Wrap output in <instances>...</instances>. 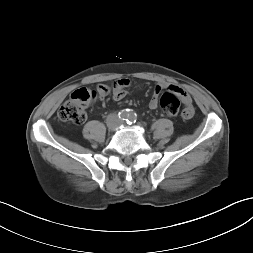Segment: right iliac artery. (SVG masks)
Masks as SVG:
<instances>
[{
    "mask_svg": "<svg viewBox=\"0 0 253 253\" xmlns=\"http://www.w3.org/2000/svg\"><path fill=\"white\" fill-rule=\"evenodd\" d=\"M118 116L121 120H127L129 117L128 110H122L121 112H119Z\"/></svg>",
    "mask_w": 253,
    "mask_h": 253,
    "instance_id": "82829eb1",
    "label": "right iliac artery"
}]
</instances>
